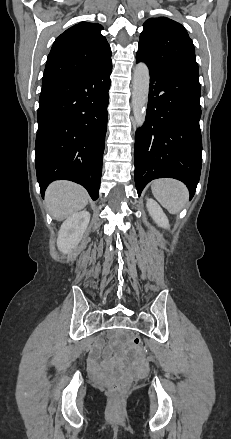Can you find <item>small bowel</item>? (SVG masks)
Segmentation results:
<instances>
[{
  "label": "small bowel",
  "mask_w": 231,
  "mask_h": 439,
  "mask_svg": "<svg viewBox=\"0 0 231 439\" xmlns=\"http://www.w3.org/2000/svg\"><path fill=\"white\" fill-rule=\"evenodd\" d=\"M92 368L94 370V372L98 375H102V369L100 364L97 362L96 359L92 360ZM141 369H144V366H141Z\"/></svg>",
  "instance_id": "1"
}]
</instances>
